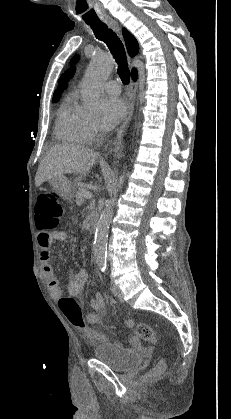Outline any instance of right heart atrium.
<instances>
[{"label":"right heart atrium","mask_w":231,"mask_h":419,"mask_svg":"<svg viewBox=\"0 0 231 419\" xmlns=\"http://www.w3.org/2000/svg\"><path fill=\"white\" fill-rule=\"evenodd\" d=\"M101 132V127L95 119H89L87 124V135L90 138L98 135Z\"/></svg>","instance_id":"obj_1"}]
</instances>
